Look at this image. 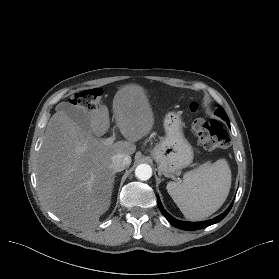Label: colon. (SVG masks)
Returning <instances> with one entry per match:
<instances>
[{
	"mask_svg": "<svg viewBox=\"0 0 279 279\" xmlns=\"http://www.w3.org/2000/svg\"><path fill=\"white\" fill-rule=\"evenodd\" d=\"M102 90L94 88L85 90L77 94L72 103L86 111H95L101 102ZM192 111H196L198 106L196 103L190 105ZM192 129L199 139L200 143L207 149H223L229 145V136L224 126L216 121H207L197 118L192 124Z\"/></svg>",
	"mask_w": 279,
	"mask_h": 279,
	"instance_id": "1",
	"label": "colon"
}]
</instances>
